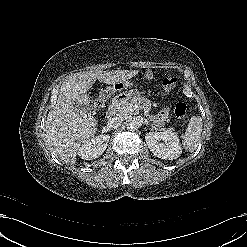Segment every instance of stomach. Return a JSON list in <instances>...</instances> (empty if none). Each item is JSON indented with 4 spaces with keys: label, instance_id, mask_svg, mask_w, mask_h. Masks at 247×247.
<instances>
[{
    "label": "stomach",
    "instance_id": "obj_1",
    "mask_svg": "<svg viewBox=\"0 0 247 247\" xmlns=\"http://www.w3.org/2000/svg\"><path fill=\"white\" fill-rule=\"evenodd\" d=\"M117 84H120L119 86H115L114 88H112L111 90L113 91V92H115V91H119V90H122V89H127V88H129L130 87V83L128 82V81H124V82H119V83H117ZM133 92L134 91H125L124 93H123V96H125V97H129V96H131L132 94H133Z\"/></svg>",
    "mask_w": 247,
    "mask_h": 247
}]
</instances>
